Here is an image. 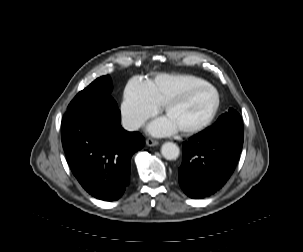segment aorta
Wrapping results in <instances>:
<instances>
[{
	"label": "aorta",
	"mask_w": 303,
	"mask_h": 252,
	"mask_svg": "<svg viewBox=\"0 0 303 252\" xmlns=\"http://www.w3.org/2000/svg\"><path fill=\"white\" fill-rule=\"evenodd\" d=\"M179 153V147L173 142H166L161 147V154L167 160H176Z\"/></svg>",
	"instance_id": "1"
}]
</instances>
